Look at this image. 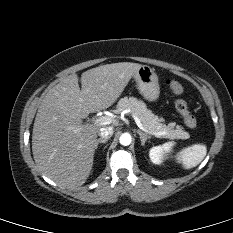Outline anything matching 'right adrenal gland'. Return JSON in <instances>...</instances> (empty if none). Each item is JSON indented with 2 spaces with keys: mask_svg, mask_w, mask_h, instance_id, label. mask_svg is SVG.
<instances>
[{
  "mask_svg": "<svg viewBox=\"0 0 233 233\" xmlns=\"http://www.w3.org/2000/svg\"><path fill=\"white\" fill-rule=\"evenodd\" d=\"M107 142H108V139H98L96 142V149H97L99 144H101V143L106 144Z\"/></svg>",
  "mask_w": 233,
  "mask_h": 233,
  "instance_id": "obj_1",
  "label": "right adrenal gland"
}]
</instances>
